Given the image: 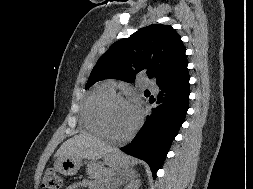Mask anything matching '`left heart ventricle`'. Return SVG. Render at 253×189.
<instances>
[{
  "label": "left heart ventricle",
  "mask_w": 253,
  "mask_h": 189,
  "mask_svg": "<svg viewBox=\"0 0 253 189\" xmlns=\"http://www.w3.org/2000/svg\"><path fill=\"white\" fill-rule=\"evenodd\" d=\"M137 112L130 104L114 103L107 111L109 129L117 135L129 132L137 121Z\"/></svg>",
  "instance_id": "obj_1"
}]
</instances>
